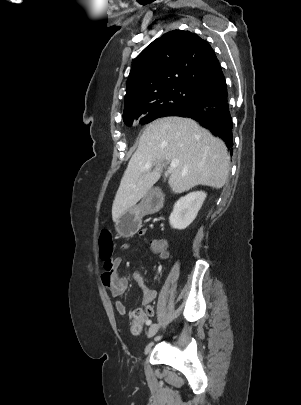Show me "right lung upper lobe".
Here are the masks:
<instances>
[{
    "mask_svg": "<svg viewBox=\"0 0 301 405\" xmlns=\"http://www.w3.org/2000/svg\"><path fill=\"white\" fill-rule=\"evenodd\" d=\"M225 80L207 41L183 30H173L148 45L136 58L126 83L124 112L164 91L189 88L206 92Z\"/></svg>",
    "mask_w": 301,
    "mask_h": 405,
    "instance_id": "obj_1",
    "label": "right lung upper lobe"
}]
</instances>
